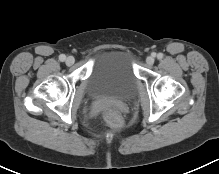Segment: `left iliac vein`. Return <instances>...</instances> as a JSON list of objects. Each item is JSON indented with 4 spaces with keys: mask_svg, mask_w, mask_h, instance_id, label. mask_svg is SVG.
<instances>
[{
    "mask_svg": "<svg viewBox=\"0 0 219 174\" xmlns=\"http://www.w3.org/2000/svg\"><path fill=\"white\" fill-rule=\"evenodd\" d=\"M154 61H155V59H154L153 56H148V57L146 58V63H147L148 65H153V64H154Z\"/></svg>",
    "mask_w": 219,
    "mask_h": 174,
    "instance_id": "1",
    "label": "left iliac vein"
}]
</instances>
